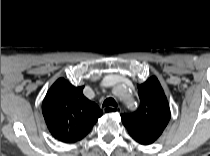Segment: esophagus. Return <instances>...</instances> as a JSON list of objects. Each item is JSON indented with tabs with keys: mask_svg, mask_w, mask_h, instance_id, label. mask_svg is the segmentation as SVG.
I'll return each instance as SVG.
<instances>
[{
	"mask_svg": "<svg viewBox=\"0 0 210 156\" xmlns=\"http://www.w3.org/2000/svg\"><path fill=\"white\" fill-rule=\"evenodd\" d=\"M103 110H104L105 113L109 114V113L112 112V107L111 106H106V107H104Z\"/></svg>",
	"mask_w": 210,
	"mask_h": 156,
	"instance_id": "34e87169",
	"label": "esophagus"
}]
</instances>
